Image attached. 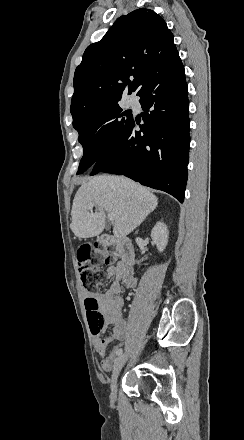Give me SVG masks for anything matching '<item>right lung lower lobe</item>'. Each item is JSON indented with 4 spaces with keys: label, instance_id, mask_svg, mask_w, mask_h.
<instances>
[{
    "label": "right lung lower lobe",
    "instance_id": "right-lung-lower-lobe-1",
    "mask_svg": "<svg viewBox=\"0 0 244 440\" xmlns=\"http://www.w3.org/2000/svg\"><path fill=\"white\" fill-rule=\"evenodd\" d=\"M137 95L145 111L144 124L138 125L140 121L132 117L114 145L93 165L91 175H125L165 191L182 203L190 144L189 101L182 63L162 68Z\"/></svg>",
    "mask_w": 244,
    "mask_h": 440
}]
</instances>
